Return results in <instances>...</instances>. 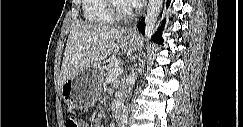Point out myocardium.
<instances>
[{
    "instance_id": "1",
    "label": "myocardium",
    "mask_w": 243,
    "mask_h": 127,
    "mask_svg": "<svg viewBox=\"0 0 243 127\" xmlns=\"http://www.w3.org/2000/svg\"><path fill=\"white\" fill-rule=\"evenodd\" d=\"M121 2H126L124 0H108V10L110 14L116 20H127L130 19L135 12L133 5L127 3L123 6Z\"/></svg>"
}]
</instances>
